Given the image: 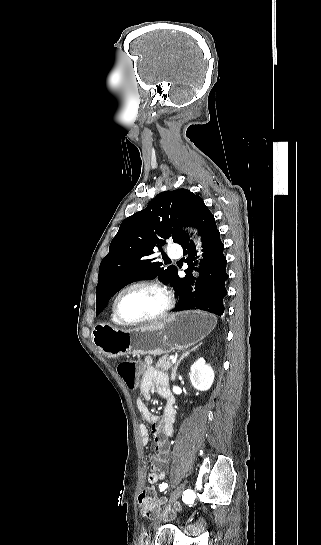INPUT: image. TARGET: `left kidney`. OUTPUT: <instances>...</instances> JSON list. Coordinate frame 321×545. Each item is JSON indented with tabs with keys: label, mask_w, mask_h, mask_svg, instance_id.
Returning a JSON list of instances; mask_svg holds the SVG:
<instances>
[{
	"label": "left kidney",
	"mask_w": 321,
	"mask_h": 545,
	"mask_svg": "<svg viewBox=\"0 0 321 545\" xmlns=\"http://www.w3.org/2000/svg\"><path fill=\"white\" fill-rule=\"evenodd\" d=\"M190 371V381L193 387L197 391H208L214 381L215 373L210 365H206L205 359H198L196 363L191 365Z\"/></svg>",
	"instance_id": "obj_1"
}]
</instances>
